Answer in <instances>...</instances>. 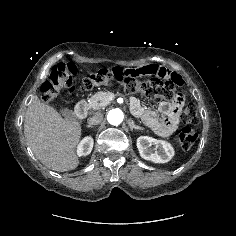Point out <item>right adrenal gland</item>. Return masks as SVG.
Instances as JSON below:
<instances>
[{"label":"right adrenal gland","instance_id":"2a0ac1e0","mask_svg":"<svg viewBox=\"0 0 236 236\" xmlns=\"http://www.w3.org/2000/svg\"><path fill=\"white\" fill-rule=\"evenodd\" d=\"M86 127L87 128H94V126H91V125H87Z\"/></svg>","mask_w":236,"mask_h":236}]
</instances>
